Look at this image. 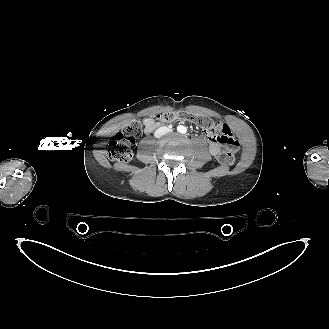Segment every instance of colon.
I'll return each instance as SVG.
<instances>
[{"label": "colon", "mask_w": 329, "mask_h": 329, "mask_svg": "<svg viewBox=\"0 0 329 329\" xmlns=\"http://www.w3.org/2000/svg\"><path fill=\"white\" fill-rule=\"evenodd\" d=\"M161 123H169L175 120H185L208 132H221L219 136L223 149L218 155V160L225 166L235 163V151L238 148L237 141L225 132L223 125L216 120L203 115L190 112H164L156 116ZM143 125L140 120H133L109 141L108 155L110 159L119 162H128L132 158V147L135 139L142 134Z\"/></svg>", "instance_id": "1"}]
</instances>
